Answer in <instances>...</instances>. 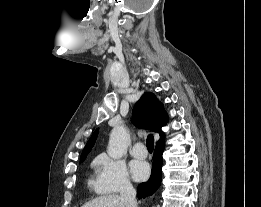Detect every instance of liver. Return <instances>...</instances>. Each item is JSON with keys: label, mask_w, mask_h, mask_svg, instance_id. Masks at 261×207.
Instances as JSON below:
<instances>
[{"label": "liver", "mask_w": 261, "mask_h": 207, "mask_svg": "<svg viewBox=\"0 0 261 207\" xmlns=\"http://www.w3.org/2000/svg\"><path fill=\"white\" fill-rule=\"evenodd\" d=\"M82 207H129V204L117 194L96 197Z\"/></svg>", "instance_id": "liver-1"}]
</instances>
